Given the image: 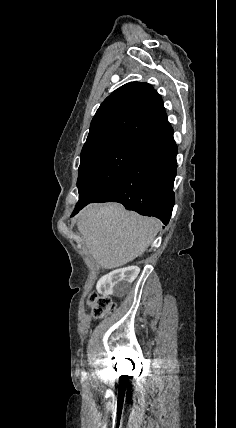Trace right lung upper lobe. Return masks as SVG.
<instances>
[{
  "label": "right lung upper lobe",
  "instance_id": "obj_1",
  "mask_svg": "<svg viewBox=\"0 0 236 428\" xmlns=\"http://www.w3.org/2000/svg\"><path fill=\"white\" fill-rule=\"evenodd\" d=\"M166 123L163 101L156 90L148 83H127L100 105L80 157L125 141H142Z\"/></svg>",
  "mask_w": 236,
  "mask_h": 428
}]
</instances>
